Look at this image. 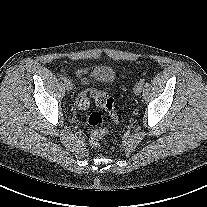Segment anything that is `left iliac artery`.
Wrapping results in <instances>:
<instances>
[{
	"mask_svg": "<svg viewBox=\"0 0 207 207\" xmlns=\"http://www.w3.org/2000/svg\"><path fill=\"white\" fill-rule=\"evenodd\" d=\"M140 83L144 84L145 83V79L144 78L140 79Z\"/></svg>",
	"mask_w": 207,
	"mask_h": 207,
	"instance_id": "obj_1",
	"label": "left iliac artery"
}]
</instances>
